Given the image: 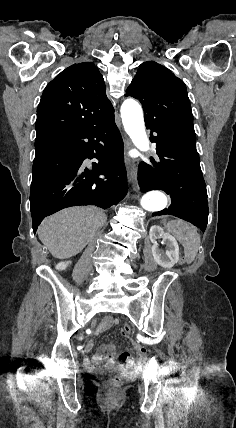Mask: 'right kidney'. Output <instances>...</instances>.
<instances>
[{"label": "right kidney", "instance_id": "1", "mask_svg": "<svg viewBox=\"0 0 236 428\" xmlns=\"http://www.w3.org/2000/svg\"><path fill=\"white\" fill-rule=\"evenodd\" d=\"M69 264H71V262H60V264H57V266H55L56 270H66V268H68Z\"/></svg>", "mask_w": 236, "mask_h": 428}]
</instances>
